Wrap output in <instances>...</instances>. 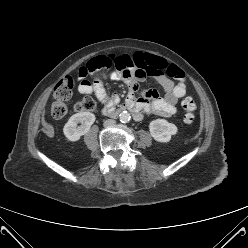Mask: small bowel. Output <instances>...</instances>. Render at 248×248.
<instances>
[{
	"label": "small bowel",
	"instance_id": "1",
	"mask_svg": "<svg viewBox=\"0 0 248 248\" xmlns=\"http://www.w3.org/2000/svg\"><path fill=\"white\" fill-rule=\"evenodd\" d=\"M125 56L132 64L128 73L117 71L107 77L112 80H124L129 88L126 101L131 103L134 118L141 120L143 113L162 117H169L176 113L177 103L186 94V83L183 72L157 56L135 52L130 54H115ZM86 68L80 70L78 91L85 95H94L104 106L102 112L106 113L115 107L120 98L114 93L108 95L104 86L106 76L97 77L93 82L85 78ZM146 78H153L163 88L164 96L160 97L154 89L141 91L139 83ZM171 78H175L174 82Z\"/></svg>",
	"mask_w": 248,
	"mask_h": 248
}]
</instances>
